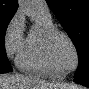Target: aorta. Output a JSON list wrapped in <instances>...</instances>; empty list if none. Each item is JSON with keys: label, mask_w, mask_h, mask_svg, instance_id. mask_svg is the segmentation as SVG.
<instances>
[{"label": "aorta", "mask_w": 89, "mask_h": 89, "mask_svg": "<svg viewBox=\"0 0 89 89\" xmlns=\"http://www.w3.org/2000/svg\"><path fill=\"white\" fill-rule=\"evenodd\" d=\"M19 8L31 19H34V2H33V0H19Z\"/></svg>", "instance_id": "aorta-1"}]
</instances>
